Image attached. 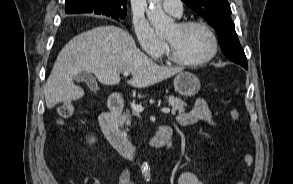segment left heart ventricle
<instances>
[{
  "instance_id": "left-heart-ventricle-1",
  "label": "left heart ventricle",
  "mask_w": 293,
  "mask_h": 184,
  "mask_svg": "<svg viewBox=\"0 0 293 184\" xmlns=\"http://www.w3.org/2000/svg\"><path fill=\"white\" fill-rule=\"evenodd\" d=\"M175 53L186 60H197L211 50V38L202 27L181 30L176 26L167 37Z\"/></svg>"
}]
</instances>
